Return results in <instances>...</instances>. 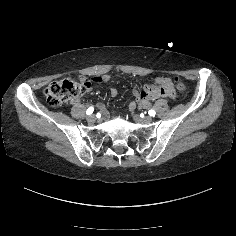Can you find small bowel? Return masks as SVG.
Returning a JSON list of instances; mask_svg holds the SVG:
<instances>
[{"label":"small bowel","instance_id":"c3829d8e","mask_svg":"<svg viewBox=\"0 0 236 236\" xmlns=\"http://www.w3.org/2000/svg\"><path fill=\"white\" fill-rule=\"evenodd\" d=\"M95 80H96V81L108 82V81L110 80V77H109L108 75H104V76H102V77H100V78H96ZM159 80H160L162 83H168V84L170 83V80L167 79V78H160ZM116 93H117V91H116L115 89H111V90H110L111 96H115ZM78 103H79V101L76 100V101H75V104H78ZM144 103H145V101L140 102V105H143Z\"/></svg>","mask_w":236,"mask_h":236}]
</instances>
